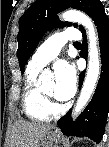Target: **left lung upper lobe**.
<instances>
[{"mask_svg": "<svg viewBox=\"0 0 109 147\" xmlns=\"http://www.w3.org/2000/svg\"><path fill=\"white\" fill-rule=\"evenodd\" d=\"M99 4V0H36L19 19L17 57L21 71L46 31L72 25L59 21L57 13L72 7L91 16Z\"/></svg>", "mask_w": 109, "mask_h": 147, "instance_id": "left-lung-upper-lobe-1", "label": "left lung upper lobe"}]
</instances>
